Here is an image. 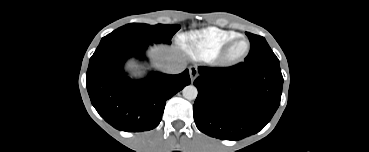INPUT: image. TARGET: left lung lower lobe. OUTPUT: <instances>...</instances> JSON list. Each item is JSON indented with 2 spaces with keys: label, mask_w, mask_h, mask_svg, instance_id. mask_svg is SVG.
<instances>
[{
  "label": "left lung lower lobe",
  "mask_w": 369,
  "mask_h": 152,
  "mask_svg": "<svg viewBox=\"0 0 369 152\" xmlns=\"http://www.w3.org/2000/svg\"><path fill=\"white\" fill-rule=\"evenodd\" d=\"M193 106L197 128L223 140H240L263 129L280 104L279 62H242L227 68L199 67Z\"/></svg>",
  "instance_id": "obj_1"
}]
</instances>
